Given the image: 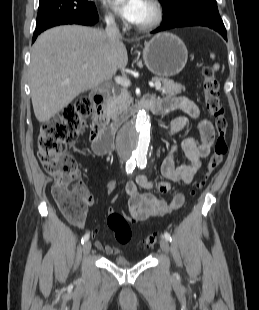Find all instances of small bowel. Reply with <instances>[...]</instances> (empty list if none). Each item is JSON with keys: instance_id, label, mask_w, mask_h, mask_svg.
<instances>
[{"instance_id": "c3829d8e", "label": "small bowel", "mask_w": 259, "mask_h": 310, "mask_svg": "<svg viewBox=\"0 0 259 310\" xmlns=\"http://www.w3.org/2000/svg\"><path fill=\"white\" fill-rule=\"evenodd\" d=\"M166 111L180 109L185 116L174 120L166 130V138L170 139L176 132L182 130L189 119L199 117V106L184 97H166L158 101ZM200 141L194 138H186L181 142V148L185 153L188 164L176 165L174 161V152L177 148L173 142L169 143L167 155L162 164V172L164 179L149 180L143 175H137L134 180L128 181L125 185V192L129 197L128 209L129 214L125 215L130 222H142L161 218L175 210L181 208L184 204V196L181 193L176 194L170 202L157 198L151 190L158 193H168L173 183L181 182L185 185H190L196 173L201 169L203 160L209 155L211 147L215 139V131L213 125L208 120H202L199 123ZM116 188L115 181H109L105 185L107 194L114 192ZM144 189L147 192L141 193L139 190ZM93 203L92 196L88 205ZM111 208L109 212H113ZM76 225L84 226L85 220H81ZM92 236L98 234L97 230L91 232ZM95 247L104 251L108 255H117L120 249L116 246L104 244L100 240L95 241Z\"/></svg>"}]
</instances>
